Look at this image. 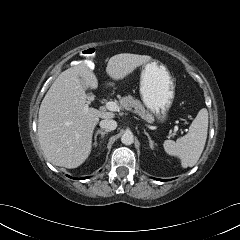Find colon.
Returning <instances> with one entry per match:
<instances>
[{
  "label": "colon",
  "instance_id": "1",
  "mask_svg": "<svg viewBox=\"0 0 240 240\" xmlns=\"http://www.w3.org/2000/svg\"><path fill=\"white\" fill-rule=\"evenodd\" d=\"M95 52L96 51L94 48H87V49H84L81 54H82V56H84L86 58H92V57H94Z\"/></svg>",
  "mask_w": 240,
  "mask_h": 240
}]
</instances>
